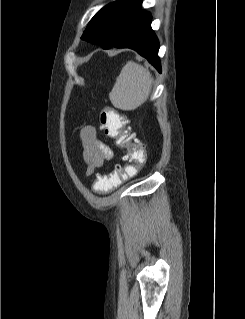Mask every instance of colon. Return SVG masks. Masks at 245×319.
Segmentation results:
<instances>
[{"instance_id": "colon-1", "label": "colon", "mask_w": 245, "mask_h": 319, "mask_svg": "<svg viewBox=\"0 0 245 319\" xmlns=\"http://www.w3.org/2000/svg\"><path fill=\"white\" fill-rule=\"evenodd\" d=\"M99 125L104 134L113 140L117 148L125 150V160L127 161L123 166H116L109 174L95 177L94 189L100 193H106L138 173L146 162V151L144 146L135 140L129 119L115 108L104 106L101 109Z\"/></svg>"}]
</instances>
